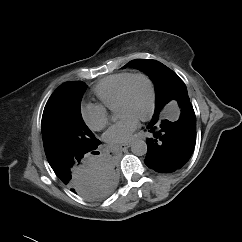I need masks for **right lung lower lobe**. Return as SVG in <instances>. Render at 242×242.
Returning <instances> with one entry per match:
<instances>
[{
  "label": "right lung lower lobe",
  "mask_w": 242,
  "mask_h": 242,
  "mask_svg": "<svg viewBox=\"0 0 242 242\" xmlns=\"http://www.w3.org/2000/svg\"><path fill=\"white\" fill-rule=\"evenodd\" d=\"M98 145L89 151L70 154L49 163L63 184L88 200L106 198L112 193L118 180L117 170L111 159L89 158L90 154L99 153L95 152Z\"/></svg>",
  "instance_id": "1"
}]
</instances>
